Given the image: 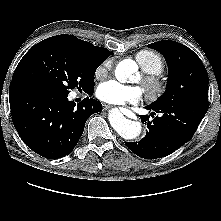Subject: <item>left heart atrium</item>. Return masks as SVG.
Instances as JSON below:
<instances>
[{"label": "left heart atrium", "mask_w": 221, "mask_h": 221, "mask_svg": "<svg viewBox=\"0 0 221 221\" xmlns=\"http://www.w3.org/2000/svg\"><path fill=\"white\" fill-rule=\"evenodd\" d=\"M143 89L138 86L125 85L116 80H109L99 85L97 97L109 104H136L143 97Z\"/></svg>", "instance_id": "obj_1"}]
</instances>
